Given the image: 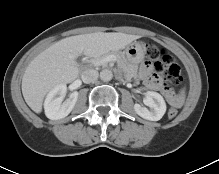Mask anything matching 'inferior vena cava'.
<instances>
[{
    "label": "inferior vena cava",
    "mask_w": 219,
    "mask_h": 174,
    "mask_svg": "<svg viewBox=\"0 0 219 174\" xmlns=\"http://www.w3.org/2000/svg\"><path fill=\"white\" fill-rule=\"evenodd\" d=\"M98 75H99L98 71L93 70V69H89V70H85L81 74V79L84 83H91V82H94L95 80H97Z\"/></svg>",
    "instance_id": "inferior-vena-cava-1"
}]
</instances>
